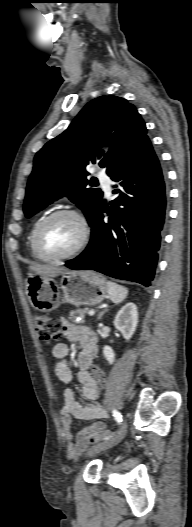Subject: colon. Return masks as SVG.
<instances>
[{"label": "colon", "mask_w": 192, "mask_h": 527, "mask_svg": "<svg viewBox=\"0 0 192 527\" xmlns=\"http://www.w3.org/2000/svg\"><path fill=\"white\" fill-rule=\"evenodd\" d=\"M34 323L38 339L46 344H50L62 336L63 327L57 319L46 315H36L34 317ZM92 378L98 384L99 388L105 383V375L98 368L93 370Z\"/></svg>", "instance_id": "1"}]
</instances>
